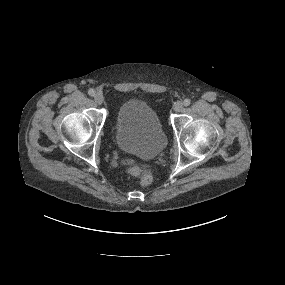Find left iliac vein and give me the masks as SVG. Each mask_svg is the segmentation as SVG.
<instances>
[{"instance_id": "left-iliac-vein-1", "label": "left iliac vein", "mask_w": 285, "mask_h": 285, "mask_svg": "<svg viewBox=\"0 0 285 285\" xmlns=\"http://www.w3.org/2000/svg\"><path fill=\"white\" fill-rule=\"evenodd\" d=\"M182 109H183V103L182 102H177L174 105V111L175 112H180V111H182Z\"/></svg>"}]
</instances>
